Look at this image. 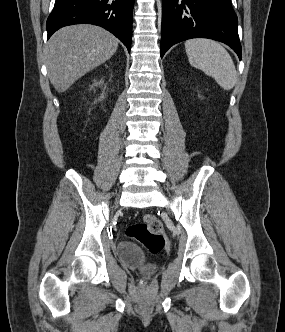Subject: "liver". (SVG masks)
Returning <instances> with one entry per match:
<instances>
[{"mask_svg": "<svg viewBox=\"0 0 285 332\" xmlns=\"http://www.w3.org/2000/svg\"><path fill=\"white\" fill-rule=\"evenodd\" d=\"M118 39L105 29L78 24L59 29L46 47L50 82L66 91L83 75L105 63L118 48Z\"/></svg>", "mask_w": 285, "mask_h": 332, "instance_id": "liver-1", "label": "liver"}]
</instances>
